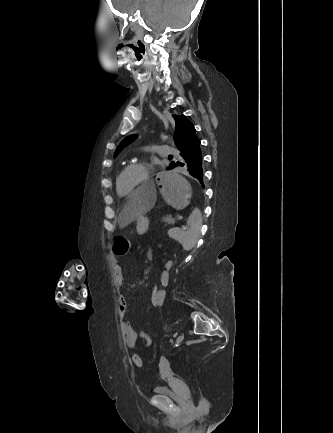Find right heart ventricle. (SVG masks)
<instances>
[{"mask_svg":"<svg viewBox=\"0 0 333 433\" xmlns=\"http://www.w3.org/2000/svg\"><path fill=\"white\" fill-rule=\"evenodd\" d=\"M117 193H118V195L121 196V197L126 196V193H122V192L120 191V189L117 190Z\"/></svg>","mask_w":333,"mask_h":433,"instance_id":"right-heart-ventricle-1","label":"right heart ventricle"}]
</instances>
